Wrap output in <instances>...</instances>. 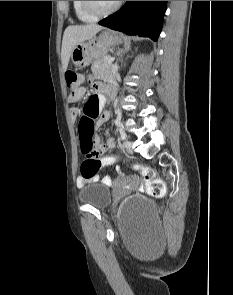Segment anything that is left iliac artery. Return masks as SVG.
<instances>
[{"label":"left iliac artery","mask_w":233,"mask_h":295,"mask_svg":"<svg viewBox=\"0 0 233 295\" xmlns=\"http://www.w3.org/2000/svg\"><path fill=\"white\" fill-rule=\"evenodd\" d=\"M123 145H129V140H123Z\"/></svg>","instance_id":"left-iliac-artery-1"}]
</instances>
